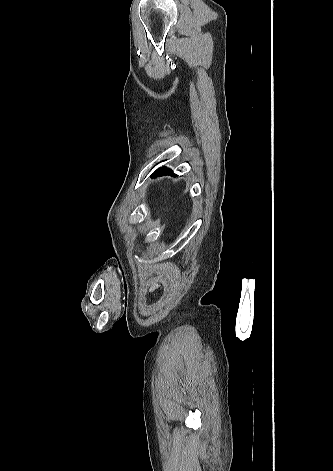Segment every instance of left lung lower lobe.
<instances>
[{
	"instance_id": "1",
	"label": "left lung lower lobe",
	"mask_w": 333,
	"mask_h": 471,
	"mask_svg": "<svg viewBox=\"0 0 333 471\" xmlns=\"http://www.w3.org/2000/svg\"><path fill=\"white\" fill-rule=\"evenodd\" d=\"M167 174H172V170L167 168Z\"/></svg>"
}]
</instances>
